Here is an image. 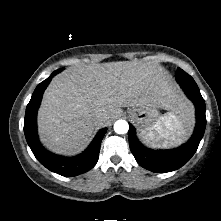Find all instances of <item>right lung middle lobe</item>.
Instances as JSON below:
<instances>
[{
  "label": "right lung middle lobe",
  "instance_id": "right-lung-middle-lobe-1",
  "mask_svg": "<svg viewBox=\"0 0 221 221\" xmlns=\"http://www.w3.org/2000/svg\"><path fill=\"white\" fill-rule=\"evenodd\" d=\"M62 69H58L56 71H54V74H57L58 72H60Z\"/></svg>",
  "mask_w": 221,
  "mask_h": 221
}]
</instances>
